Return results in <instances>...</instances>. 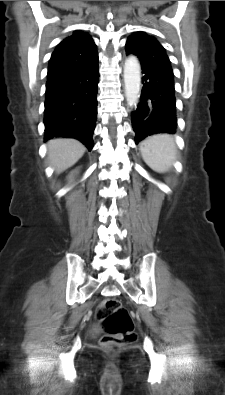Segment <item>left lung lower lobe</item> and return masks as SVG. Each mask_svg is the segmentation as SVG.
Masks as SVG:
<instances>
[{
	"mask_svg": "<svg viewBox=\"0 0 225 395\" xmlns=\"http://www.w3.org/2000/svg\"><path fill=\"white\" fill-rule=\"evenodd\" d=\"M141 68L144 74L141 98L131 114L136 144L153 134H173L177 126L172 68L161 64L141 65Z\"/></svg>",
	"mask_w": 225,
	"mask_h": 395,
	"instance_id": "0a47b994",
	"label": "left lung lower lobe"
}]
</instances>
